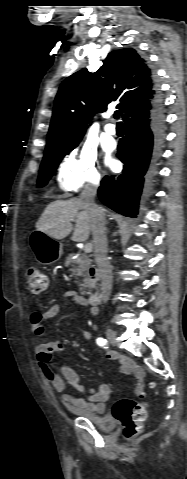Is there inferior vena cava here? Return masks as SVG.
I'll return each instance as SVG.
<instances>
[{"instance_id":"inferior-vena-cava-1","label":"inferior vena cava","mask_w":187,"mask_h":479,"mask_svg":"<svg viewBox=\"0 0 187 479\" xmlns=\"http://www.w3.org/2000/svg\"><path fill=\"white\" fill-rule=\"evenodd\" d=\"M98 183H88L80 195V201L89 214L93 235L94 256L101 279V299L109 300L113 276L112 267L107 259L108 244L106 237V219L104 209L95 203Z\"/></svg>"}]
</instances>
